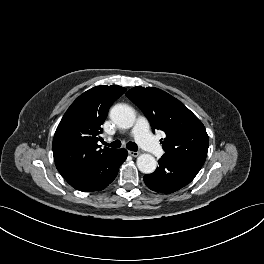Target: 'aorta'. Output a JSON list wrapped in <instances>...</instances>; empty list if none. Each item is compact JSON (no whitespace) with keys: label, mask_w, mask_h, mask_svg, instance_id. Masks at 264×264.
Segmentation results:
<instances>
[{"label":"aorta","mask_w":264,"mask_h":264,"mask_svg":"<svg viewBox=\"0 0 264 264\" xmlns=\"http://www.w3.org/2000/svg\"><path fill=\"white\" fill-rule=\"evenodd\" d=\"M111 120L123 129H129L134 125L135 113L134 110L126 104H117L110 111ZM138 169L145 174H150L155 171L157 162L150 154H141L137 158Z\"/></svg>","instance_id":"1"}]
</instances>
